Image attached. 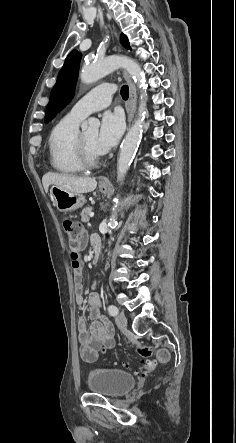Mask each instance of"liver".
I'll return each mask as SVG.
<instances>
[{"instance_id": "liver-1", "label": "liver", "mask_w": 236, "mask_h": 443, "mask_svg": "<svg viewBox=\"0 0 236 443\" xmlns=\"http://www.w3.org/2000/svg\"><path fill=\"white\" fill-rule=\"evenodd\" d=\"M45 192H48L50 185H56L72 193L82 194L95 190L97 182L95 178L76 177L68 174L46 173L42 178Z\"/></svg>"}]
</instances>
